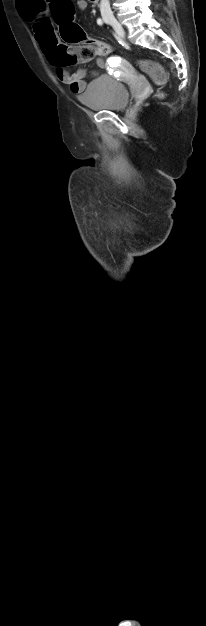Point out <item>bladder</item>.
<instances>
[{
    "instance_id": "obj_1",
    "label": "bladder",
    "mask_w": 206,
    "mask_h": 626,
    "mask_svg": "<svg viewBox=\"0 0 206 626\" xmlns=\"http://www.w3.org/2000/svg\"><path fill=\"white\" fill-rule=\"evenodd\" d=\"M86 107L99 111L124 109L129 103L126 86L111 76L102 75L92 80L79 97Z\"/></svg>"
}]
</instances>
